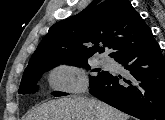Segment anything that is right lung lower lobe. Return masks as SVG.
Here are the masks:
<instances>
[{
  "instance_id": "right-lung-lower-lobe-1",
  "label": "right lung lower lobe",
  "mask_w": 165,
  "mask_h": 120,
  "mask_svg": "<svg viewBox=\"0 0 165 120\" xmlns=\"http://www.w3.org/2000/svg\"><path fill=\"white\" fill-rule=\"evenodd\" d=\"M114 58L129 77L109 73L90 86V94L140 120H165V58L153 34Z\"/></svg>"
}]
</instances>
